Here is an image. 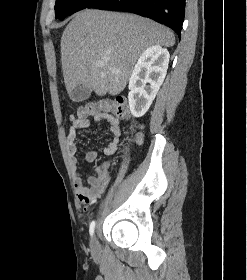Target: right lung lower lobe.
I'll use <instances>...</instances> for the list:
<instances>
[{
  "label": "right lung lower lobe",
  "instance_id": "98d812e1",
  "mask_svg": "<svg viewBox=\"0 0 247 280\" xmlns=\"http://www.w3.org/2000/svg\"><path fill=\"white\" fill-rule=\"evenodd\" d=\"M89 8L119 10L152 18L169 26L180 38L185 0H97Z\"/></svg>",
  "mask_w": 247,
  "mask_h": 280
}]
</instances>
